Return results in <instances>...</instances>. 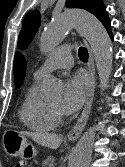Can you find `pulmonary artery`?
<instances>
[{"label": "pulmonary artery", "mask_w": 125, "mask_h": 167, "mask_svg": "<svg viewBox=\"0 0 125 167\" xmlns=\"http://www.w3.org/2000/svg\"><path fill=\"white\" fill-rule=\"evenodd\" d=\"M73 58L69 45L57 48L46 60L34 71L35 79H42L46 73L57 69L68 68L72 65Z\"/></svg>", "instance_id": "pulmonary-artery-1"}]
</instances>
